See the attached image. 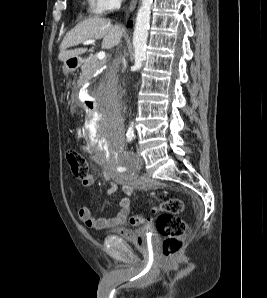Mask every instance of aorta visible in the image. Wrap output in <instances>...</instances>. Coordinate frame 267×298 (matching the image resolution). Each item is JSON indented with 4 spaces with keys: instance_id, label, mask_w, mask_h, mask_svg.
Masks as SVG:
<instances>
[{
    "instance_id": "obj_1",
    "label": "aorta",
    "mask_w": 267,
    "mask_h": 298,
    "mask_svg": "<svg viewBox=\"0 0 267 298\" xmlns=\"http://www.w3.org/2000/svg\"><path fill=\"white\" fill-rule=\"evenodd\" d=\"M153 0H141V5L136 17L133 33L134 69L140 70L146 56L148 30L150 27L151 5ZM133 123L128 128V133L133 134Z\"/></svg>"
}]
</instances>
